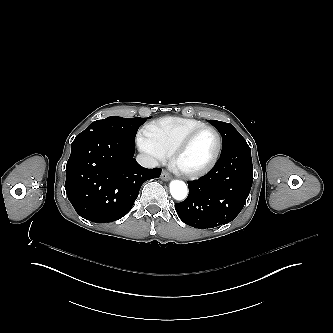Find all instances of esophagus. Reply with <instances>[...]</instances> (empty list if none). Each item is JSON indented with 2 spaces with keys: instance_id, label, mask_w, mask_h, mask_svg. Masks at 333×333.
<instances>
[{
  "instance_id": "1",
  "label": "esophagus",
  "mask_w": 333,
  "mask_h": 333,
  "mask_svg": "<svg viewBox=\"0 0 333 333\" xmlns=\"http://www.w3.org/2000/svg\"><path fill=\"white\" fill-rule=\"evenodd\" d=\"M160 178L163 181H169L171 179V175L166 171H162V174H161Z\"/></svg>"
}]
</instances>
